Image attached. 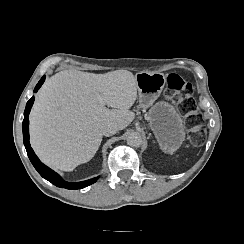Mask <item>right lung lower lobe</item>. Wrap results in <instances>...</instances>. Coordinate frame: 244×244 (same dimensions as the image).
<instances>
[{"label": "right lung lower lobe", "instance_id": "1", "mask_svg": "<svg viewBox=\"0 0 244 244\" xmlns=\"http://www.w3.org/2000/svg\"><path fill=\"white\" fill-rule=\"evenodd\" d=\"M44 80H45V76H43L40 79V81L38 82V84L36 85V87L34 89V92L38 91V89L43 84ZM33 102H34V97H32L26 104L22 128H23L24 145H25L28 157H29L31 163L33 164V166L35 167V169L39 172V174L43 178H45L46 180H48L49 182H51L52 184H54L57 187H62V188H67V189H81V188H84L88 185L95 183L99 177H95V178H92V179H89L86 181H82V182H77V183L65 182L64 180L61 179V177L57 173H55L49 167H47L42 162H40V160L34 153L33 149L30 146V143H29L28 115L30 113Z\"/></svg>", "mask_w": 244, "mask_h": 244}]
</instances>
